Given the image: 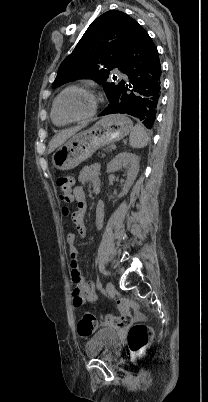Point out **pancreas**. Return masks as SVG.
I'll use <instances>...</instances> for the list:
<instances>
[{"label": "pancreas", "mask_w": 208, "mask_h": 402, "mask_svg": "<svg viewBox=\"0 0 208 402\" xmlns=\"http://www.w3.org/2000/svg\"><path fill=\"white\" fill-rule=\"evenodd\" d=\"M112 146H108V148H104L103 152H111Z\"/></svg>", "instance_id": "1"}]
</instances>
